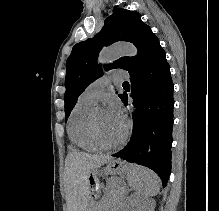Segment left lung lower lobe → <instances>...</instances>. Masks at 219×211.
Listing matches in <instances>:
<instances>
[{"mask_svg": "<svg viewBox=\"0 0 219 211\" xmlns=\"http://www.w3.org/2000/svg\"><path fill=\"white\" fill-rule=\"evenodd\" d=\"M130 81L131 93H124L121 100L125 105L130 97L134 100L132 135L112 156L149 167L166 186L171 172L174 87L164 50L131 73Z\"/></svg>", "mask_w": 219, "mask_h": 211, "instance_id": "0a47b994", "label": "left lung lower lobe"}]
</instances>
